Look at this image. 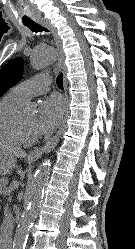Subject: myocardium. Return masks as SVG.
<instances>
[{"label": "myocardium", "mask_w": 135, "mask_h": 249, "mask_svg": "<svg viewBox=\"0 0 135 249\" xmlns=\"http://www.w3.org/2000/svg\"><path fill=\"white\" fill-rule=\"evenodd\" d=\"M20 116H21V112L18 111L16 115L14 116V120H13V125H14L16 133L22 139V142H27V143L34 142L37 139V135L30 134L29 132L25 130V128L23 127L21 123Z\"/></svg>", "instance_id": "obj_1"}]
</instances>
